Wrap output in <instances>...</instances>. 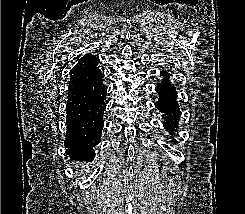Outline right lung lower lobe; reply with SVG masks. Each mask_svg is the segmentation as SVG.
Listing matches in <instances>:
<instances>
[{"label":"right lung lower lobe","instance_id":"98d812e1","mask_svg":"<svg viewBox=\"0 0 245 214\" xmlns=\"http://www.w3.org/2000/svg\"><path fill=\"white\" fill-rule=\"evenodd\" d=\"M78 66L79 62L70 72L64 145L72 160L90 162L95 157L93 147L101 141L106 88L102 83L103 73L84 82Z\"/></svg>","mask_w":245,"mask_h":214}]
</instances>
